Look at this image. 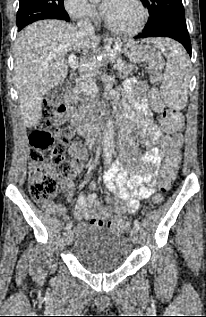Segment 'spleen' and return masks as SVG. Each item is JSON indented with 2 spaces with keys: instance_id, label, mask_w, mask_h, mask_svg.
Listing matches in <instances>:
<instances>
[{
  "instance_id": "1",
  "label": "spleen",
  "mask_w": 206,
  "mask_h": 317,
  "mask_svg": "<svg viewBox=\"0 0 206 317\" xmlns=\"http://www.w3.org/2000/svg\"><path fill=\"white\" fill-rule=\"evenodd\" d=\"M145 42L159 48L167 59L160 91L166 105L175 110H182L188 100L190 79L189 58L184 48L177 42L166 39H148Z\"/></svg>"
}]
</instances>
